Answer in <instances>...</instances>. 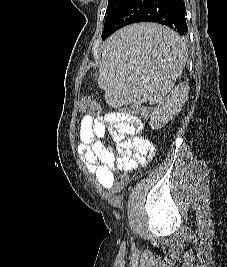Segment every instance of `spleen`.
<instances>
[{
	"label": "spleen",
	"mask_w": 227,
	"mask_h": 267,
	"mask_svg": "<svg viewBox=\"0 0 227 267\" xmlns=\"http://www.w3.org/2000/svg\"><path fill=\"white\" fill-rule=\"evenodd\" d=\"M124 28L103 42L102 55L108 59L103 80L110 82L101 83L107 90L102 98L114 95L119 104L136 97L157 102L181 76L186 46L177 33L161 22L143 19ZM101 105H112V100H101Z\"/></svg>",
	"instance_id": "spleen-1"
}]
</instances>
